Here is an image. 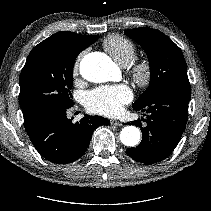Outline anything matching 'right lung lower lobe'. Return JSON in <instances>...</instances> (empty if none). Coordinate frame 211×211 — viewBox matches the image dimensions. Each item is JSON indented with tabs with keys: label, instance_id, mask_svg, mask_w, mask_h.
Listing matches in <instances>:
<instances>
[{
	"label": "right lung lower lobe",
	"instance_id": "obj_1",
	"mask_svg": "<svg viewBox=\"0 0 211 211\" xmlns=\"http://www.w3.org/2000/svg\"><path fill=\"white\" fill-rule=\"evenodd\" d=\"M70 107L46 106L24 116V126L31 142L52 163L76 161L87 150L95 128L109 125L108 119L89 115L72 123V119L66 117V110Z\"/></svg>",
	"mask_w": 211,
	"mask_h": 211
}]
</instances>
